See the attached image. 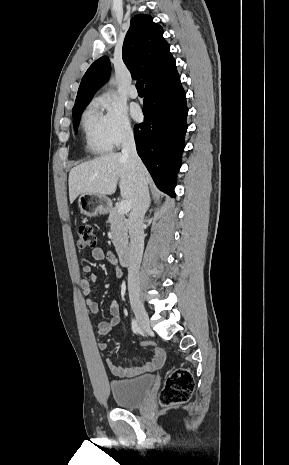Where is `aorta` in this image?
Here are the masks:
<instances>
[{
  "mask_svg": "<svg viewBox=\"0 0 289 465\" xmlns=\"http://www.w3.org/2000/svg\"><path fill=\"white\" fill-rule=\"evenodd\" d=\"M110 83H111V84H114V80H113V79H111V80H110Z\"/></svg>",
  "mask_w": 289,
  "mask_h": 465,
  "instance_id": "obj_1",
  "label": "aorta"
}]
</instances>
